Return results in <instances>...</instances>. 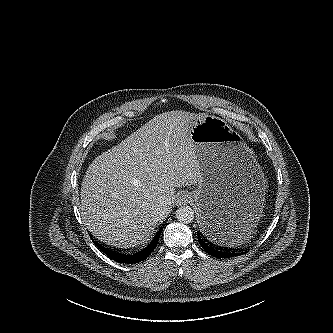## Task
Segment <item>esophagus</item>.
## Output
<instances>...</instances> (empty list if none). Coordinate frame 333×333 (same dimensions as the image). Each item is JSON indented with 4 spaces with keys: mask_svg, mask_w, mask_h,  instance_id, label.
I'll return each instance as SVG.
<instances>
[{
    "mask_svg": "<svg viewBox=\"0 0 333 333\" xmlns=\"http://www.w3.org/2000/svg\"><path fill=\"white\" fill-rule=\"evenodd\" d=\"M189 200H190V196L187 193L183 192V193H180L177 196V198H176V204L177 205H183V204L189 202Z\"/></svg>",
    "mask_w": 333,
    "mask_h": 333,
    "instance_id": "esophagus-1",
    "label": "esophagus"
}]
</instances>
